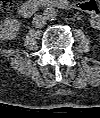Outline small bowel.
<instances>
[{
    "label": "small bowel",
    "instance_id": "small-bowel-1",
    "mask_svg": "<svg viewBox=\"0 0 100 118\" xmlns=\"http://www.w3.org/2000/svg\"><path fill=\"white\" fill-rule=\"evenodd\" d=\"M84 3H85V2L81 3V6H80L83 10H85V8H84V6H83ZM85 11H87V10H85ZM87 12L91 15V13H90L89 11H87Z\"/></svg>",
    "mask_w": 100,
    "mask_h": 118
}]
</instances>
